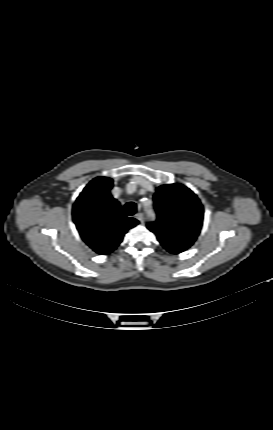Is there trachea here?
Wrapping results in <instances>:
<instances>
[{"label":"trachea","mask_w":273,"mask_h":430,"mask_svg":"<svg viewBox=\"0 0 273 430\" xmlns=\"http://www.w3.org/2000/svg\"><path fill=\"white\" fill-rule=\"evenodd\" d=\"M125 210H126V214H127L128 216H132V215H134V214L136 213L137 206H136V204H135V203H133V202H128V203L125 205Z\"/></svg>","instance_id":"obj_1"}]
</instances>
